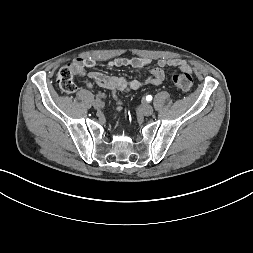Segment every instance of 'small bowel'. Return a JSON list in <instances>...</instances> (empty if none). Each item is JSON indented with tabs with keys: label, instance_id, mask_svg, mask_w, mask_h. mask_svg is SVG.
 Here are the masks:
<instances>
[{
	"label": "small bowel",
	"instance_id": "1",
	"mask_svg": "<svg viewBox=\"0 0 253 253\" xmlns=\"http://www.w3.org/2000/svg\"><path fill=\"white\" fill-rule=\"evenodd\" d=\"M150 59L145 58H124L118 57L110 60L107 63L109 69L119 68V67H131L135 71L142 69H147L150 64ZM97 60L91 57L88 58H77L72 62V66L76 69V73L80 76L86 77L90 82L87 83L88 87H91V82L98 84L99 86L108 89L112 92L113 99L116 102V111L120 112L122 110V102L118 98V92L120 91H131L137 90L147 85L158 86L163 83L165 79V74L163 69L165 67L178 68L182 71H188L190 66L185 60L178 58L160 59L157 62V67L148 69L149 76L144 80H128L124 77H117L106 75L97 71H87V68H92L96 65ZM101 70L106 68L104 63L99 65Z\"/></svg>",
	"mask_w": 253,
	"mask_h": 253
}]
</instances>
